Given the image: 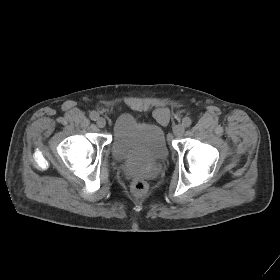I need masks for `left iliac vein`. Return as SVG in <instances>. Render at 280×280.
<instances>
[{"label":"left iliac vein","instance_id":"1","mask_svg":"<svg viewBox=\"0 0 280 280\" xmlns=\"http://www.w3.org/2000/svg\"><path fill=\"white\" fill-rule=\"evenodd\" d=\"M184 126L179 124L173 128V133L177 138H180L184 134Z\"/></svg>","mask_w":280,"mask_h":280}]
</instances>
